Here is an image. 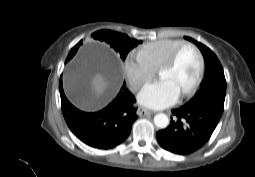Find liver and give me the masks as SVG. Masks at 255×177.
I'll list each match as a JSON object with an SVG mask.
<instances>
[{
    "instance_id": "liver-1",
    "label": "liver",
    "mask_w": 255,
    "mask_h": 177,
    "mask_svg": "<svg viewBox=\"0 0 255 177\" xmlns=\"http://www.w3.org/2000/svg\"><path fill=\"white\" fill-rule=\"evenodd\" d=\"M108 87L106 78L100 74L95 73L89 82V90L92 98H100Z\"/></svg>"
}]
</instances>
